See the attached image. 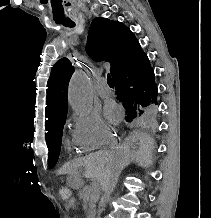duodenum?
<instances>
[{"label": "duodenum", "instance_id": "obj_1", "mask_svg": "<svg viewBox=\"0 0 211 218\" xmlns=\"http://www.w3.org/2000/svg\"><path fill=\"white\" fill-rule=\"evenodd\" d=\"M92 216H93V211L90 210V211L88 212V217H92Z\"/></svg>", "mask_w": 211, "mask_h": 218}]
</instances>
